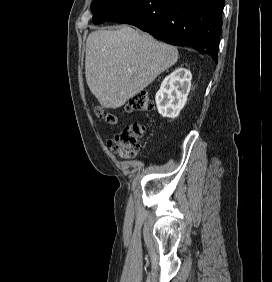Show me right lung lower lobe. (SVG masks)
Returning a JSON list of instances; mask_svg holds the SVG:
<instances>
[{
    "label": "right lung lower lobe",
    "instance_id": "obj_1",
    "mask_svg": "<svg viewBox=\"0 0 272 282\" xmlns=\"http://www.w3.org/2000/svg\"><path fill=\"white\" fill-rule=\"evenodd\" d=\"M225 0H136L108 21L131 24L177 46H193L217 62Z\"/></svg>",
    "mask_w": 272,
    "mask_h": 282
}]
</instances>
